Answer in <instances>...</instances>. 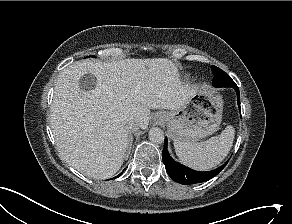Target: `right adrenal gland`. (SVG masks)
<instances>
[{"instance_id":"right-adrenal-gland-1","label":"right adrenal gland","mask_w":292,"mask_h":224,"mask_svg":"<svg viewBox=\"0 0 292 224\" xmlns=\"http://www.w3.org/2000/svg\"><path fill=\"white\" fill-rule=\"evenodd\" d=\"M132 143H133V136H132V133H129V136H128V144H129V146L127 148V158H128V156L130 154V150L132 148Z\"/></svg>"}]
</instances>
